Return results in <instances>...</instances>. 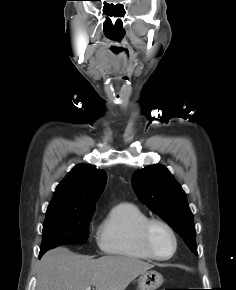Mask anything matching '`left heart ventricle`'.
I'll use <instances>...</instances> for the list:
<instances>
[{
    "label": "left heart ventricle",
    "mask_w": 236,
    "mask_h": 290,
    "mask_svg": "<svg viewBox=\"0 0 236 290\" xmlns=\"http://www.w3.org/2000/svg\"><path fill=\"white\" fill-rule=\"evenodd\" d=\"M151 244L160 256H168L173 250V240L170 234L161 226L153 227L151 231Z\"/></svg>",
    "instance_id": "left-heart-ventricle-1"
}]
</instances>
